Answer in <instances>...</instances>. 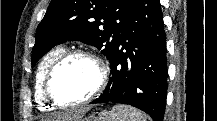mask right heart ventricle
<instances>
[{
    "label": "right heart ventricle",
    "mask_w": 217,
    "mask_h": 121,
    "mask_svg": "<svg viewBox=\"0 0 217 121\" xmlns=\"http://www.w3.org/2000/svg\"><path fill=\"white\" fill-rule=\"evenodd\" d=\"M65 52L66 49L64 47L59 46L54 48L42 58L38 66L35 77V100L37 105L42 109H53L44 94L45 78L50 67Z\"/></svg>",
    "instance_id": "right-heart-ventricle-1"
}]
</instances>
